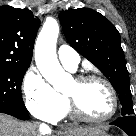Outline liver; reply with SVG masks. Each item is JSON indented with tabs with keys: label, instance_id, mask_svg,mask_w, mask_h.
<instances>
[{
	"label": "liver",
	"instance_id": "obj_1",
	"mask_svg": "<svg viewBox=\"0 0 136 136\" xmlns=\"http://www.w3.org/2000/svg\"><path fill=\"white\" fill-rule=\"evenodd\" d=\"M99 128H70L65 131V136L90 135ZM47 130H36L35 125L29 122H21L9 115L0 113V136H45L50 134Z\"/></svg>",
	"mask_w": 136,
	"mask_h": 136
}]
</instances>
